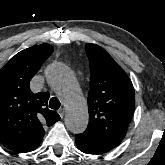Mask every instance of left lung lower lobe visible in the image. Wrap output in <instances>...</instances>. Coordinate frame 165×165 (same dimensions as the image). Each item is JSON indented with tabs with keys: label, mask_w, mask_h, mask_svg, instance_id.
Wrapping results in <instances>:
<instances>
[{
	"label": "left lung lower lobe",
	"mask_w": 165,
	"mask_h": 165,
	"mask_svg": "<svg viewBox=\"0 0 165 165\" xmlns=\"http://www.w3.org/2000/svg\"><path fill=\"white\" fill-rule=\"evenodd\" d=\"M75 142L82 152L95 155L106 153L117 146L86 130L75 135Z\"/></svg>",
	"instance_id": "1"
}]
</instances>
